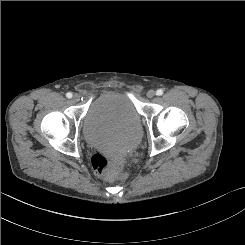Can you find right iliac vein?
Returning a JSON list of instances; mask_svg holds the SVG:
<instances>
[{
  "mask_svg": "<svg viewBox=\"0 0 245 245\" xmlns=\"http://www.w3.org/2000/svg\"><path fill=\"white\" fill-rule=\"evenodd\" d=\"M79 99H80V96H79L78 94H75V95H73V97H72V100H73L74 102L79 101Z\"/></svg>",
  "mask_w": 245,
  "mask_h": 245,
  "instance_id": "63e3f726",
  "label": "right iliac vein"
}]
</instances>
